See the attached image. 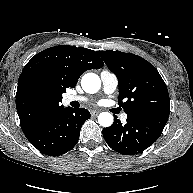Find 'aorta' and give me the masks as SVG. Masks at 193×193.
<instances>
[{
	"instance_id": "aorta-1",
	"label": "aorta",
	"mask_w": 193,
	"mask_h": 193,
	"mask_svg": "<svg viewBox=\"0 0 193 193\" xmlns=\"http://www.w3.org/2000/svg\"><path fill=\"white\" fill-rule=\"evenodd\" d=\"M81 86L86 93L94 94L100 90L101 80L95 73H86L81 79ZM113 120V115L109 112H102L98 116V123L103 127H110Z\"/></svg>"
}]
</instances>
